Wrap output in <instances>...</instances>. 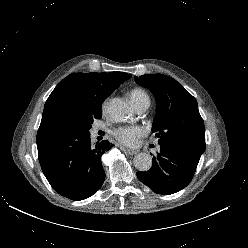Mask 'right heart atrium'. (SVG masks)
<instances>
[{
    "label": "right heart atrium",
    "instance_id": "right-heart-atrium-1",
    "mask_svg": "<svg viewBox=\"0 0 248 248\" xmlns=\"http://www.w3.org/2000/svg\"><path fill=\"white\" fill-rule=\"evenodd\" d=\"M107 107H108V100H105L102 104V110L103 111H106L107 110Z\"/></svg>",
    "mask_w": 248,
    "mask_h": 248
}]
</instances>
